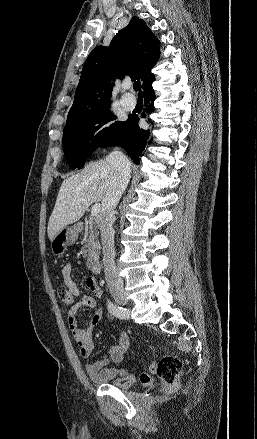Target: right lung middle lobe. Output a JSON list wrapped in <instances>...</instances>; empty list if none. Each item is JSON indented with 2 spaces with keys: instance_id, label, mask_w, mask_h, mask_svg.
<instances>
[{
  "instance_id": "obj_1",
  "label": "right lung middle lobe",
  "mask_w": 257,
  "mask_h": 439,
  "mask_svg": "<svg viewBox=\"0 0 257 439\" xmlns=\"http://www.w3.org/2000/svg\"><path fill=\"white\" fill-rule=\"evenodd\" d=\"M125 124L116 121L110 106L66 122L63 150L70 167L81 169L98 147L109 144L123 131Z\"/></svg>"
}]
</instances>
